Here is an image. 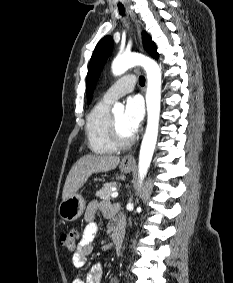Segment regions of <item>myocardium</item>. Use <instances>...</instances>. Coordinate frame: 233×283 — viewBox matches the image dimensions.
Returning <instances> with one entry per match:
<instances>
[{"instance_id":"1","label":"myocardium","mask_w":233,"mask_h":283,"mask_svg":"<svg viewBox=\"0 0 233 283\" xmlns=\"http://www.w3.org/2000/svg\"><path fill=\"white\" fill-rule=\"evenodd\" d=\"M109 138L110 141L112 143V145L116 148V149H124L129 147L135 137L132 134L130 137L123 139L120 137L118 129H117V124H116V120L114 118V115L110 116V121H109Z\"/></svg>"}]
</instances>
